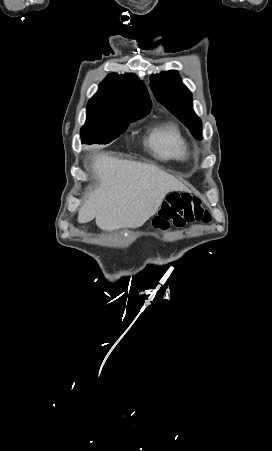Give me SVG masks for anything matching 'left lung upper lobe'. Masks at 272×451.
<instances>
[{"label": "left lung upper lobe", "mask_w": 272, "mask_h": 451, "mask_svg": "<svg viewBox=\"0 0 272 451\" xmlns=\"http://www.w3.org/2000/svg\"><path fill=\"white\" fill-rule=\"evenodd\" d=\"M156 99L187 126L198 139L202 138V122L192 108V94L181 83L177 71H164L151 76Z\"/></svg>", "instance_id": "obj_1"}]
</instances>
